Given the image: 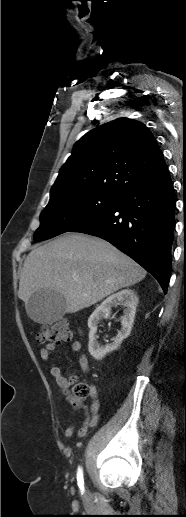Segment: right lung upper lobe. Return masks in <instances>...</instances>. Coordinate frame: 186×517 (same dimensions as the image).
Returning <instances> with one entry per match:
<instances>
[{"label": "right lung upper lobe", "instance_id": "1", "mask_svg": "<svg viewBox=\"0 0 186 517\" xmlns=\"http://www.w3.org/2000/svg\"><path fill=\"white\" fill-rule=\"evenodd\" d=\"M167 172L149 129L133 119L119 118L89 131L74 145L50 199L77 193L120 196Z\"/></svg>", "mask_w": 186, "mask_h": 517}]
</instances>
